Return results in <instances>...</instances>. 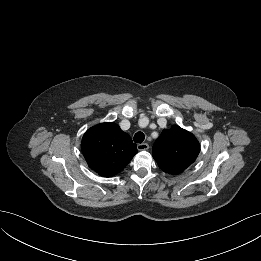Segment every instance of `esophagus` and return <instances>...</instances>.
Returning a JSON list of instances; mask_svg holds the SVG:
<instances>
[{
  "mask_svg": "<svg viewBox=\"0 0 261 261\" xmlns=\"http://www.w3.org/2000/svg\"><path fill=\"white\" fill-rule=\"evenodd\" d=\"M137 149L140 150V151L148 150L149 149V145L146 142L140 143V144L137 145Z\"/></svg>",
  "mask_w": 261,
  "mask_h": 261,
  "instance_id": "esophagus-1",
  "label": "esophagus"
}]
</instances>
